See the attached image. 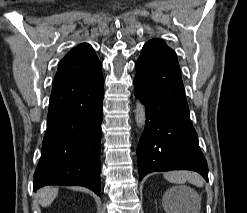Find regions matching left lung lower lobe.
I'll return each mask as SVG.
<instances>
[{"mask_svg": "<svg viewBox=\"0 0 247 213\" xmlns=\"http://www.w3.org/2000/svg\"><path fill=\"white\" fill-rule=\"evenodd\" d=\"M134 92L146 107L145 130L137 148L140 180L155 171L188 169L208 181V166L190 120L177 57L139 58Z\"/></svg>", "mask_w": 247, "mask_h": 213, "instance_id": "obj_1", "label": "left lung lower lobe"}]
</instances>
